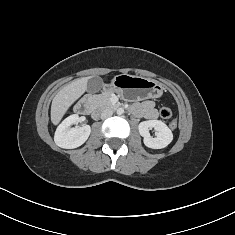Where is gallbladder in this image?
<instances>
[{
  "label": "gallbladder",
  "instance_id": "1",
  "mask_svg": "<svg viewBox=\"0 0 235 235\" xmlns=\"http://www.w3.org/2000/svg\"><path fill=\"white\" fill-rule=\"evenodd\" d=\"M103 86V80L99 76H94L89 78L87 83V91L89 93H95L101 89Z\"/></svg>",
  "mask_w": 235,
  "mask_h": 235
}]
</instances>
